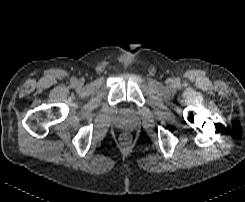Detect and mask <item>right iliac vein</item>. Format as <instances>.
I'll return each mask as SVG.
<instances>
[{
    "label": "right iliac vein",
    "instance_id": "1",
    "mask_svg": "<svg viewBox=\"0 0 245 202\" xmlns=\"http://www.w3.org/2000/svg\"><path fill=\"white\" fill-rule=\"evenodd\" d=\"M77 85L80 83V81L75 82Z\"/></svg>",
    "mask_w": 245,
    "mask_h": 202
}]
</instances>
